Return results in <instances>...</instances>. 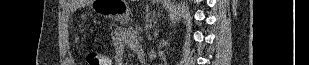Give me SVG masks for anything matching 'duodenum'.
<instances>
[{
	"instance_id": "410a0bca",
	"label": "duodenum",
	"mask_w": 309,
	"mask_h": 65,
	"mask_svg": "<svg viewBox=\"0 0 309 65\" xmlns=\"http://www.w3.org/2000/svg\"><path fill=\"white\" fill-rule=\"evenodd\" d=\"M135 54L141 63L145 61V52H144L143 47L141 46L137 47L135 49Z\"/></svg>"
}]
</instances>
